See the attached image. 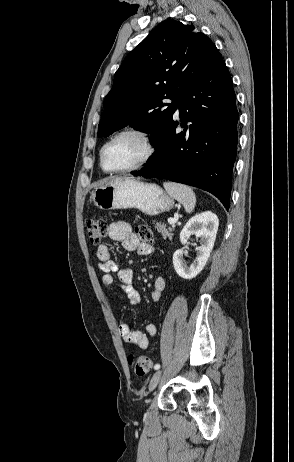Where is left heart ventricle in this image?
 I'll return each instance as SVG.
<instances>
[{
    "instance_id": "1",
    "label": "left heart ventricle",
    "mask_w": 294,
    "mask_h": 462,
    "mask_svg": "<svg viewBox=\"0 0 294 462\" xmlns=\"http://www.w3.org/2000/svg\"><path fill=\"white\" fill-rule=\"evenodd\" d=\"M144 142L137 136L124 135L107 146L104 152V166L109 170L129 167L145 153Z\"/></svg>"
}]
</instances>
